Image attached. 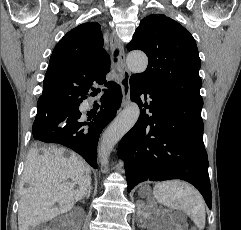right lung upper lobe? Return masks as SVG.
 Here are the masks:
<instances>
[{"mask_svg": "<svg viewBox=\"0 0 241 230\" xmlns=\"http://www.w3.org/2000/svg\"><path fill=\"white\" fill-rule=\"evenodd\" d=\"M109 71L110 57L103 49L100 24H81L54 48L38 103L50 105L85 99L93 85L113 84L105 80Z\"/></svg>", "mask_w": 241, "mask_h": 230, "instance_id": "1", "label": "right lung upper lobe"}]
</instances>
